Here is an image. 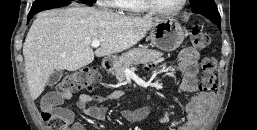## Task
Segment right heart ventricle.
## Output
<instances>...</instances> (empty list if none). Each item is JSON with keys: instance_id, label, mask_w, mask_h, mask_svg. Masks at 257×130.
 Instances as JSON below:
<instances>
[{"instance_id": "1", "label": "right heart ventricle", "mask_w": 257, "mask_h": 130, "mask_svg": "<svg viewBox=\"0 0 257 130\" xmlns=\"http://www.w3.org/2000/svg\"><path fill=\"white\" fill-rule=\"evenodd\" d=\"M116 8L128 15H141L147 12L141 0H116Z\"/></svg>"}]
</instances>
